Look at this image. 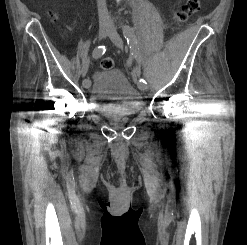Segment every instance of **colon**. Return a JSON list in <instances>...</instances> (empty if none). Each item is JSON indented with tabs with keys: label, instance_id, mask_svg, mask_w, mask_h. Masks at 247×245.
Segmentation results:
<instances>
[{
	"label": "colon",
	"instance_id": "1",
	"mask_svg": "<svg viewBox=\"0 0 247 245\" xmlns=\"http://www.w3.org/2000/svg\"><path fill=\"white\" fill-rule=\"evenodd\" d=\"M200 0H185L176 13L178 22L183 23L190 19L200 9ZM103 69L114 67V61L111 58H103L100 62Z\"/></svg>",
	"mask_w": 247,
	"mask_h": 245
}]
</instances>
